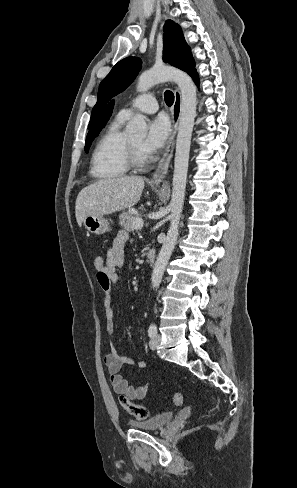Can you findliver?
<instances>
[{
    "instance_id": "obj_1",
    "label": "liver",
    "mask_w": 297,
    "mask_h": 488,
    "mask_svg": "<svg viewBox=\"0 0 297 488\" xmlns=\"http://www.w3.org/2000/svg\"><path fill=\"white\" fill-rule=\"evenodd\" d=\"M144 179L124 176L99 180L84 187L76 199V220L79 225L87 215H108L135 206L142 194Z\"/></svg>"
}]
</instances>
